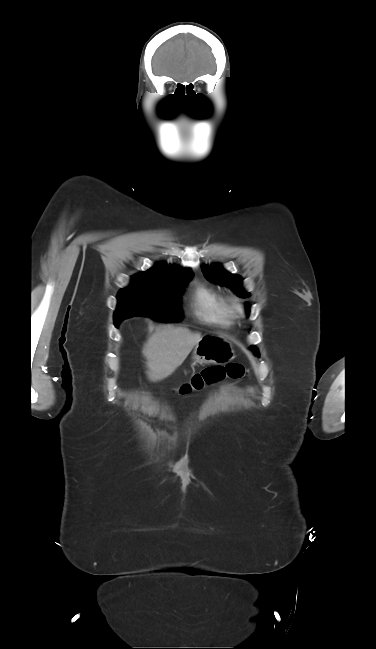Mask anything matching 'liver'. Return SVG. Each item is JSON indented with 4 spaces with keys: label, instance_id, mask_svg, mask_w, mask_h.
<instances>
[{
    "label": "liver",
    "instance_id": "6515ba94",
    "mask_svg": "<svg viewBox=\"0 0 376 649\" xmlns=\"http://www.w3.org/2000/svg\"><path fill=\"white\" fill-rule=\"evenodd\" d=\"M201 338L200 333H192L187 328L160 326L142 350L149 380L156 382L170 376Z\"/></svg>",
    "mask_w": 376,
    "mask_h": 649
}]
</instances>
